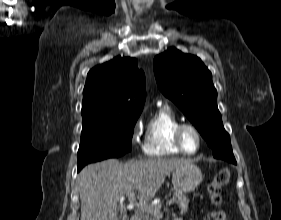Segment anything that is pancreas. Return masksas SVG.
Masks as SVG:
<instances>
[{"mask_svg":"<svg viewBox=\"0 0 281 220\" xmlns=\"http://www.w3.org/2000/svg\"><path fill=\"white\" fill-rule=\"evenodd\" d=\"M176 200V203L179 205L180 213L183 215L187 212L188 209V199H186L184 196L180 195L179 193H174L173 196ZM161 205H158L155 207L156 210L160 212ZM160 217L158 214L154 213H148L143 217V220H160Z\"/></svg>","mask_w":281,"mask_h":220,"instance_id":"1","label":"pancreas"}]
</instances>
